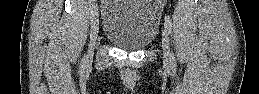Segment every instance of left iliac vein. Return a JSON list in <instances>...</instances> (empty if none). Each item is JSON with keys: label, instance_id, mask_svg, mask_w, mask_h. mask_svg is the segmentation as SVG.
I'll return each instance as SVG.
<instances>
[{"label": "left iliac vein", "instance_id": "4c4485c4", "mask_svg": "<svg viewBox=\"0 0 259 94\" xmlns=\"http://www.w3.org/2000/svg\"><path fill=\"white\" fill-rule=\"evenodd\" d=\"M162 50H163V59L165 64L170 63V48H169V40L166 31L163 33L162 37Z\"/></svg>", "mask_w": 259, "mask_h": 94}]
</instances>
